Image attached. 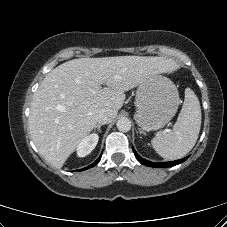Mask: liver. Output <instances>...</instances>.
I'll list each match as a JSON object with an SVG mask.
<instances>
[{"mask_svg":"<svg viewBox=\"0 0 227 227\" xmlns=\"http://www.w3.org/2000/svg\"><path fill=\"white\" fill-rule=\"evenodd\" d=\"M174 69L172 60L150 56L78 58L57 66L31 102L29 130L39 153L62 167L97 125L101 109L117 113L126 91L151 75Z\"/></svg>","mask_w":227,"mask_h":227,"instance_id":"obj_1","label":"liver"}]
</instances>
